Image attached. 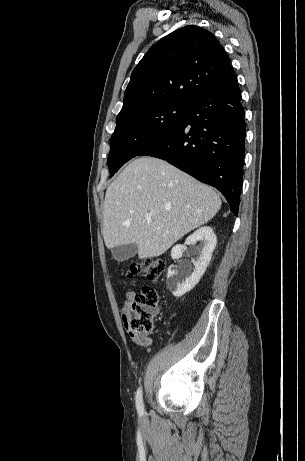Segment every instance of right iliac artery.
<instances>
[{
	"mask_svg": "<svg viewBox=\"0 0 305 461\" xmlns=\"http://www.w3.org/2000/svg\"><path fill=\"white\" fill-rule=\"evenodd\" d=\"M136 408L139 414L144 413V405H143L141 388H138L136 392Z\"/></svg>",
	"mask_w": 305,
	"mask_h": 461,
	"instance_id": "82829eb1",
	"label": "right iliac artery"
}]
</instances>
